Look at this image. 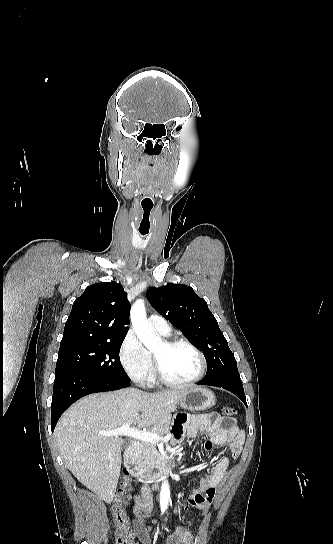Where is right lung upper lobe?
I'll list each match as a JSON object with an SVG mask.
<instances>
[{"label":"right lung upper lobe","instance_id":"obj_1","mask_svg":"<svg viewBox=\"0 0 333 544\" xmlns=\"http://www.w3.org/2000/svg\"><path fill=\"white\" fill-rule=\"evenodd\" d=\"M130 303L117 282L88 286L66 321L60 348L126 336Z\"/></svg>","mask_w":333,"mask_h":544}]
</instances>
